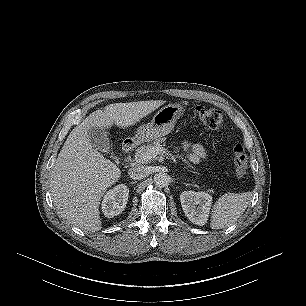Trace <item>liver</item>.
Wrapping results in <instances>:
<instances>
[{"label":"liver","mask_w":306,"mask_h":306,"mask_svg":"<svg viewBox=\"0 0 306 306\" xmlns=\"http://www.w3.org/2000/svg\"><path fill=\"white\" fill-rule=\"evenodd\" d=\"M165 101L114 103L96 110L77 125L65 141L50 177L51 196L61 217L89 232L102 228L99 205L105 191L118 181L121 170L95 149L89 139L92 127L103 130L115 124L133 126Z\"/></svg>","instance_id":"1"}]
</instances>
